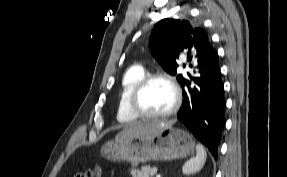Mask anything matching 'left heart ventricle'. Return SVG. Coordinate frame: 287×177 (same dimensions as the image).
I'll list each match as a JSON object with an SVG mask.
<instances>
[{"label": "left heart ventricle", "mask_w": 287, "mask_h": 177, "mask_svg": "<svg viewBox=\"0 0 287 177\" xmlns=\"http://www.w3.org/2000/svg\"><path fill=\"white\" fill-rule=\"evenodd\" d=\"M174 101L170 86L161 80L152 81L142 91L139 106L148 113L159 114L171 108Z\"/></svg>", "instance_id": "left-heart-ventricle-1"}]
</instances>
